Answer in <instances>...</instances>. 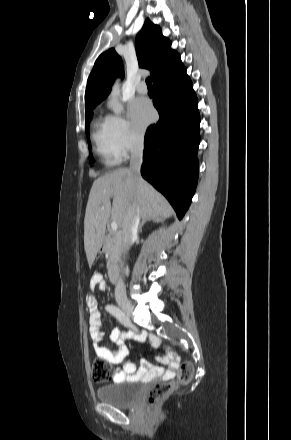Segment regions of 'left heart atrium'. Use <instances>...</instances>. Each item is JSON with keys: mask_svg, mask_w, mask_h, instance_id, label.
Here are the masks:
<instances>
[{"mask_svg": "<svg viewBox=\"0 0 291 440\" xmlns=\"http://www.w3.org/2000/svg\"><path fill=\"white\" fill-rule=\"evenodd\" d=\"M155 113L150 103L145 99H136L130 106V117L138 130H143L154 119Z\"/></svg>", "mask_w": 291, "mask_h": 440, "instance_id": "1", "label": "left heart atrium"}]
</instances>
